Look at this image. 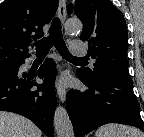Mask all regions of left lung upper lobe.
Instances as JSON below:
<instances>
[{
  "instance_id": "1",
  "label": "left lung upper lobe",
  "mask_w": 144,
  "mask_h": 137,
  "mask_svg": "<svg viewBox=\"0 0 144 137\" xmlns=\"http://www.w3.org/2000/svg\"><path fill=\"white\" fill-rule=\"evenodd\" d=\"M75 12L83 23L80 38L89 42V55L96 60L93 69L80 68L85 79L101 74L132 81L128 72V32L125 19L110 0H76L68 14Z\"/></svg>"
}]
</instances>
